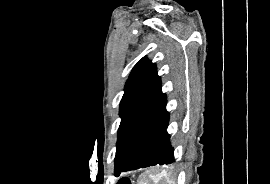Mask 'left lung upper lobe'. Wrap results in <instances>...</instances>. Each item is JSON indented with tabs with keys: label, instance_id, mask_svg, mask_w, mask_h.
I'll use <instances>...</instances> for the list:
<instances>
[{
	"label": "left lung upper lobe",
	"instance_id": "obj_1",
	"mask_svg": "<svg viewBox=\"0 0 270 184\" xmlns=\"http://www.w3.org/2000/svg\"><path fill=\"white\" fill-rule=\"evenodd\" d=\"M166 95L156 65L142 58L133 68L120 103L121 123L115 156V171L122 165L132 145L156 115Z\"/></svg>",
	"mask_w": 270,
	"mask_h": 184
}]
</instances>
